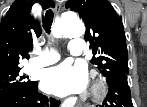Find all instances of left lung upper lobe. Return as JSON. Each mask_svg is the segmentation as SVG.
<instances>
[{
  "instance_id": "obj_1",
  "label": "left lung upper lobe",
  "mask_w": 147,
  "mask_h": 107,
  "mask_svg": "<svg viewBox=\"0 0 147 107\" xmlns=\"http://www.w3.org/2000/svg\"><path fill=\"white\" fill-rule=\"evenodd\" d=\"M66 8L78 12L86 25L85 40L93 50L91 63L106 80L128 74V51L122 18L108 0H68ZM96 55V57H95Z\"/></svg>"
}]
</instances>
